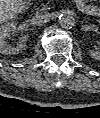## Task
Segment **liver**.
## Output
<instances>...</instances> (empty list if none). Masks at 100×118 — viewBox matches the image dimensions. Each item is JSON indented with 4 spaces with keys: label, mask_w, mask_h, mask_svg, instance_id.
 Wrapping results in <instances>:
<instances>
[{
    "label": "liver",
    "mask_w": 100,
    "mask_h": 118,
    "mask_svg": "<svg viewBox=\"0 0 100 118\" xmlns=\"http://www.w3.org/2000/svg\"><path fill=\"white\" fill-rule=\"evenodd\" d=\"M21 9L22 6L18 0H0L1 22L15 18Z\"/></svg>",
    "instance_id": "obj_1"
}]
</instances>
